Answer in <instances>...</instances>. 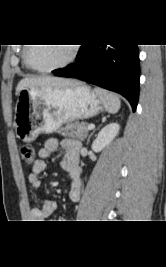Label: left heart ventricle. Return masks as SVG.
Segmentation results:
<instances>
[{"mask_svg": "<svg viewBox=\"0 0 166 267\" xmlns=\"http://www.w3.org/2000/svg\"><path fill=\"white\" fill-rule=\"evenodd\" d=\"M71 48L68 45H34L30 48L29 60L39 68H49L65 61Z\"/></svg>", "mask_w": 166, "mask_h": 267, "instance_id": "obj_1", "label": "left heart ventricle"}]
</instances>
